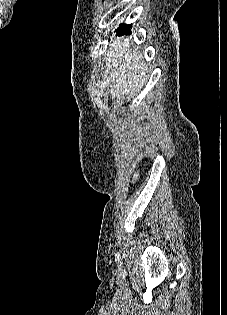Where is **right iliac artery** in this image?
<instances>
[{"label": "right iliac artery", "mask_w": 227, "mask_h": 315, "mask_svg": "<svg viewBox=\"0 0 227 315\" xmlns=\"http://www.w3.org/2000/svg\"><path fill=\"white\" fill-rule=\"evenodd\" d=\"M115 259L117 261L118 266L121 267L122 266V261H121V258H120V254L118 252L115 254Z\"/></svg>", "instance_id": "obj_1"}]
</instances>
